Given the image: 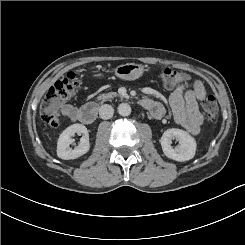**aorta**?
Here are the masks:
<instances>
[{
    "mask_svg": "<svg viewBox=\"0 0 245 245\" xmlns=\"http://www.w3.org/2000/svg\"><path fill=\"white\" fill-rule=\"evenodd\" d=\"M118 113L121 116H129L131 114V106L127 103H121L118 106Z\"/></svg>",
    "mask_w": 245,
    "mask_h": 245,
    "instance_id": "obj_1",
    "label": "aorta"
}]
</instances>
